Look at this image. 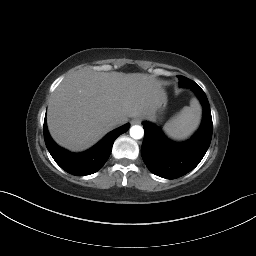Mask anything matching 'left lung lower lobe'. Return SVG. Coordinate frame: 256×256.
Here are the masks:
<instances>
[{
  "label": "left lung lower lobe",
  "mask_w": 256,
  "mask_h": 256,
  "mask_svg": "<svg viewBox=\"0 0 256 256\" xmlns=\"http://www.w3.org/2000/svg\"><path fill=\"white\" fill-rule=\"evenodd\" d=\"M186 87L196 93L203 106L202 124L190 140L182 143L171 141L157 126L143 122L142 158L152 173L166 179L179 178L194 169L204 157L212 138V116L206 94L190 79Z\"/></svg>",
  "instance_id": "obj_1"
}]
</instances>
